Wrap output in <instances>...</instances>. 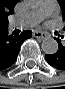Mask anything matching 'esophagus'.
<instances>
[{"instance_id": "34e87169", "label": "esophagus", "mask_w": 65, "mask_h": 89, "mask_svg": "<svg viewBox=\"0 0 65 89\" xmlns=\"http://www.w3.org/2000/svg\"><path fill=\"white\" fill-rule=\"evenodd\" d=\"M33 37L44 39V38H47L48 35L42 31H33Z\"/></svg>"}]
</instances>
